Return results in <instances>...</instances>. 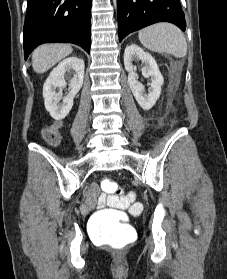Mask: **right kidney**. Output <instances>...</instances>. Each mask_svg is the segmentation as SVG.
I'll list each match as a JSON object with an SVG mask.
<instances>
[{
  "label": "right kidney",
  "mask_w": 227,
  "mask_h": 279,
  "mask_svg": "<svg viewBox=\"0 0 227 279\" xmlns=\"http://www.w3.org/2000/svg\"><path fill=\"white\" fill-rule=\"evenodd\" d=\"M84 61L77 57H68L55 67L43 86V97L46 110L55 120L64 119L73 106V99L81 89L84 79ZM74 71V76L70 80V92L63 97L62 92H56V88L66 86L64 75L67 71ZM62 100V103H60Z\"/></svg>",
  "instance_id": "obj_1"
}]
</instances>
